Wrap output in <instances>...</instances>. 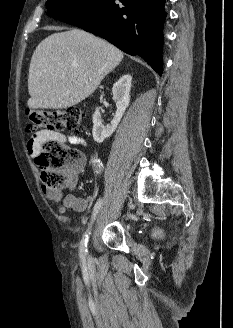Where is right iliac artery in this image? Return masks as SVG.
<instances>
[{
    "instance_id": "right-iliac-artery-1",
    "label": "right iliac artery",
    "mask_w": 233,
    "mask_h": 328,
    "mask_svg": "<svg viewBox=\"0 0 233 328\" xmlns=\"http://www.w3.org/2000/svg\"><path fill=\"white\" fill-rule=\"evenodd\" d=\"M94 166L97 170H100L101 169V163L99 160H95L94 161ZM102 204V199H99L95 206H94V209H93V213H92V219H91V223H90V226L89 228L87 229V231L85 232L81 242H80V246H79V254L82 258H85L88 254V250H87V243H88V239H89V234H90V227H91V224L93 222V220L95 219L98 211H99V208Z\"/></svg>"
}]
</instances>
